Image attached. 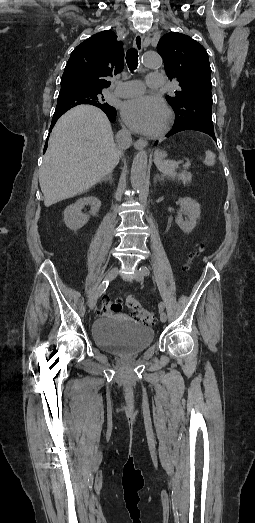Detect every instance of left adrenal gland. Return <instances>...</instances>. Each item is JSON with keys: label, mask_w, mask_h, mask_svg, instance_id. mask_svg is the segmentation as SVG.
<instances>
[{"label": "left adrenal gland", "mask_w": 255, "mask_h": 523, "mask_svg": "<svg viewBox=\"0 0 255 523\" xmlns=\"http://www.w3.org/2000/svg\"><path fill=\"white\" fill-rule=\"evenodd\" d=\"M157 180H163V178H161V176H159V174H156V176L154 178V184H156Z\"/></svg>", "instance_id": "left-adrenal-gland-1"}]
</instances>
